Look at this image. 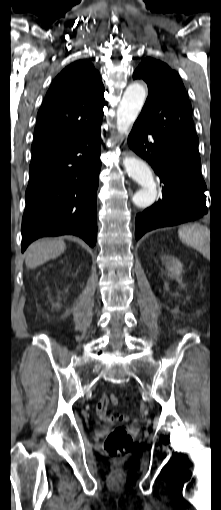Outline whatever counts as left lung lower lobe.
<instances>
[{
    "label": "left lung lower lobe",
    "mask_w": 221,
    "mask_h": 510,
    "mask_svg": "<svg viewBox=\"0 0 221 510\" xmlns=\"http://www.w3.org/2000/svg\"><path fill=\"white\" fill-rule=\"evenodd\" d=\"M150 134L153 139L149 142ZM128 145L154 168L163 188L161 199L136 215V239L153 229L193 221L208 213L200 157L159 138L140 119L133 125Z\"/></svg>",
    "instance_id": "left-lung-lower-lobe-1"
}]
</instances>
